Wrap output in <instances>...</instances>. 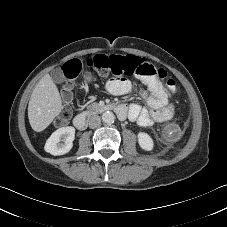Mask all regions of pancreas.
Listing matches in <instances>:
<instances>
[{
  "instance_id": "1",
  "label": "pancreas",
  "mask_w": 227,
  "mask_h": 227,
  "mask_svg": "<svg viewBox=\"0 0 227 227\" xmlns=\"http://www.w3.org/2000/svg\"><path fill=\"white\" fill-rule=\"evenodd\" d=\"M100 109V105L98 103H93L91 105L88 106V110L90 112H96Z\"/></svg>"
}]
</instances>
